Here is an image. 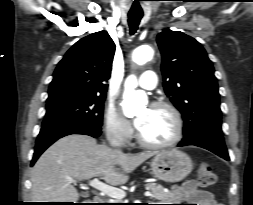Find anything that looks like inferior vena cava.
I'll use <instances>...</instances> for the list:
<instances>
[{
	"label": "inferior vena cava",
	"mask_w": 253,
	"mask_h": 205,
	"mask_svg": "<svg viewBox=\"0 0 253 205\" xmlns=\"http://www.w3.org/2000/svg\"><path fill=\"white\" fill-rule=\"evenodd\" d=\"M109 142H110V145L112 146V147H116V146H118V142H117V140H115V139H109Z\"/></svg>",
	"instance_id": "inferior-vena-cava-1"
}]
</instances>
